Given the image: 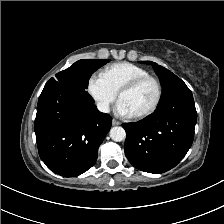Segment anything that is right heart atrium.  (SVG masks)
Here are the masks:
<instances>
[{"mask_svg":"<svg viewBox=\"0 0 224 224\" xmlns=\"http://www.w3.org/2000/svg\"><path fill=\"white\" fill-rule=\"evenodd\" d=\"M87 91L102 112H108L116 99V93L109 87L101 75L89 77Z\"/></svg>","mask_w":224,"mask_h":224,"instance_id":"right-heart-atrium-1","label":"right heart atrium"}]
</instances>
